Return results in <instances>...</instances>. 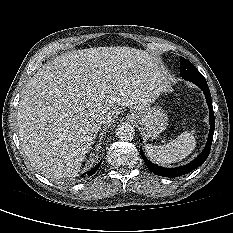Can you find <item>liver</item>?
Returning <instances> with one entry per match:
<instances>
[{"instance_id": "6515ba94", "label": "liver", "mask_w": 233, "mask_h": 233, "mask_svg": "<svg viewBox=\"0 0 233 233\" xmlns=\"http://www.w3.org/2000/svg\"><path fill=\"white\" fill-rule=\"evenodd\" d=\"M168 85L146 51L125 46L69 52L44 64L28 81L17 112L21 146L50 179L75 177L101 128L119 106L145 110Z\"/></svg>"}]
</instances>
